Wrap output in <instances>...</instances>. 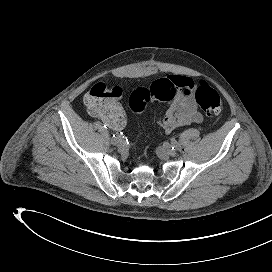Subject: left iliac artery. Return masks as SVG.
I'll return each mask as SVG.
<instances>
[{"label":"left iliac artery","instance_id":"left-iliac-artery-1","mask_svg":"<svg viewBox=\"0 0 272 272\" xmlns=\"http://www.w3.org/2000/svg\"><path fill=\"white\" fill-rule=\"evenodd\" d=\"M171 144H172V149L174 150H180V145L179 143L175 140V138L171 139Z\"/></svg>","mask_w":272,"mask_h":272}]
</instances>
